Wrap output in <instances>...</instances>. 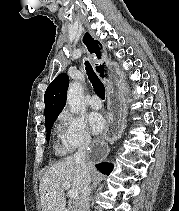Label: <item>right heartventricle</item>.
<instances>
[{
  "label": "right heart ventricle",
  "mask_w": 179,
  "mask_h": 211,
  "mask_svg": "<svg viewBox=\"0 0 179 211\" xmlns=\"http://www.w3.org/2000/svg\"><path fill=\"white\" fill-rule=\"evenodd\" d=\"M56 151H58L59 153H63L65 151V149L63 147H61L60 145H56L55 146Z\"/></svg>",
  "instance_id": "obj_1"
}]
</instances>
